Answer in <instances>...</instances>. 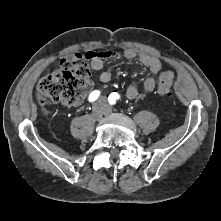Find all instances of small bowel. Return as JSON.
Listing matches in <instances>:
<instances>
[{
	"mask_svg": "<svg viewBox=\"0 0 221 221\" xmlns=\"http://www.w3.org/2000/svg\"><path fill=\"white\" fill-rule=\"evenodd\" d=\"M86 56L88 60H90L92 68L98 72V77L101 82H108L111 79V73L107 70H103L106 59L112 58L117 60H132L138 58L142 66L148 69L151 73V76L144 81L143 91L151 92L155 89L156 78L161 70V62L154 56L145 53H137L133 49H127L123 54L114 51H89L86 53ZM138 95L139 91L136 86H128L126 90V97L129 100L135 99Z\"/></svg>",
	"mask_w": 221,
	"mask_h": 221,
	"instance_id": "1",
	"label": "small bowel"
}]
</instances>
